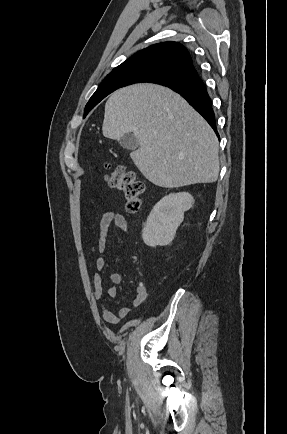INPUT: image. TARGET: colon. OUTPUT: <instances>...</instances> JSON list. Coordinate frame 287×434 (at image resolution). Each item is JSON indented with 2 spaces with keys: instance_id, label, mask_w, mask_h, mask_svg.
Segmentation results:
<instances>
[{
  "instance_id": "colon-1",
  "label": "colon",
  "mask_w": 287,
  "mask_h": 434,
  "mask_svg": "<svg viewBox=\"0 0 287 434\" xmlns=\"http://www.w3.org/2000/svg\"><path fill=\"white\" fill-rule=\"evenodd\" d=\"M105 168V182L124 195L125 208L129 214L137 213L142 206L144 183L136 178L134 172L128 171L124 167L113 169L110 165H106Z\"/></svg>"
}]
</instances>
